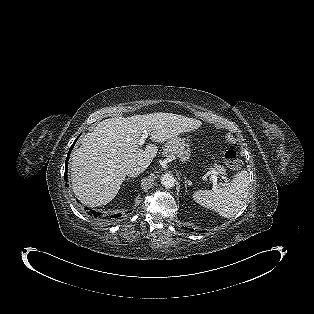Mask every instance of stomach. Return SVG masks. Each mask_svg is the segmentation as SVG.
Here are the masks:
<instances>
[{"label": "stomach", "mask_w": 314, "mask_h": 314, "mask_svg": "<svg viewBox=\"0 0 314 314\" xmlns=\"http://www.w3.org/2000/svg\"><path fill=\"white\" fill-rule=\"evenodd\" d=\"M165 151L167 154L176 155L182 162H186L191 154L187 139L182 138L180 135L168 140Z\"/></svg>", "instance_id": "0dacf381"}]
</instances>
